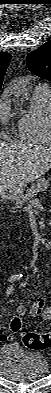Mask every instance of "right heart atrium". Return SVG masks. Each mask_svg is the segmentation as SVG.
I'll use <instances>...</instances> for the list:
<instances>
[{
  "instance_id": "right-heart-atrium-1",
  "label": "right heart atrium",
  "mask_w": 51,
  "mask_h": 393,
  "mask_svg": "<svg viewBox=\"0 0 51 393\" xmlns=\"http://www.w3.org/2000/svg\"><path fill=\"white\" fill-rule=\"evenodd\" d=\"M10 111L7 105H4L0 109V120L2 123H7L10 119Z\"/></svg>"
}]
</instances>
